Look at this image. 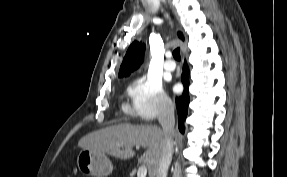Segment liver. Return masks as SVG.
I'll return each mask as SVG.
<instances>
[{
    "mask_svg": "<svg viewBox=\"0 0 287 177\" xmlns=\"http://www.w3.org/2000/svg\"><path fill=\"white\" fill-rule=\"evenodd\" d=\"M78 146L124 160L135 155L134 146H143L147 150L138 162L147 166L149 177H155L162 155L163 131L157 126L121 123L84 136Z\"/></svg>",
    "mask_w": 287,
    "mask_h": 177,
    "instance_id": "6515ba94",
    "label": "liver"
}]
</instances>
